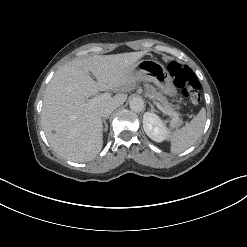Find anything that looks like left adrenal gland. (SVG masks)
Listing matches in <instances>:
<instances>
[{"mask_svg": "<svg viewBox=\"0 0 247 247\" xmlns=\"http://www.w3.org/2000/svg\"><path fill=\"white\" fill-rule=\"evenodd\" d=\"M150 107H151V111H154V106L152 104H150Z\"/></svg>", "mask_w": 247, "mask_h": 247, "instance_id": "1", "label": "left adrenal gland"}]
</instances>
